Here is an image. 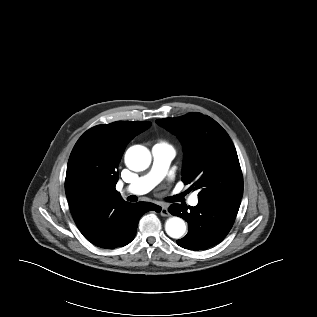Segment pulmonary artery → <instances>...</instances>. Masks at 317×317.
Listing matches in <instances>:
<instances>
[{"instance_id":"obj_1","label":"pulmonary artery","mask_w":317,"mask_h":317,"mask_svg":"<svg viewBox=\"0 0 317 317\" xmlns=\"http://www.w3.org/2000/svg\"><path fill=\"white\" fill-rule=\"evenodd\" d=\"M174 155L175 151L172 146L163 142L156 143L152 147L153 163L150 170L128 185L124 191L136 195L149 192L164 178ZM188 202L191 206H196L198 204L197 194H193Z\"/></svg>"}]
</instances>
